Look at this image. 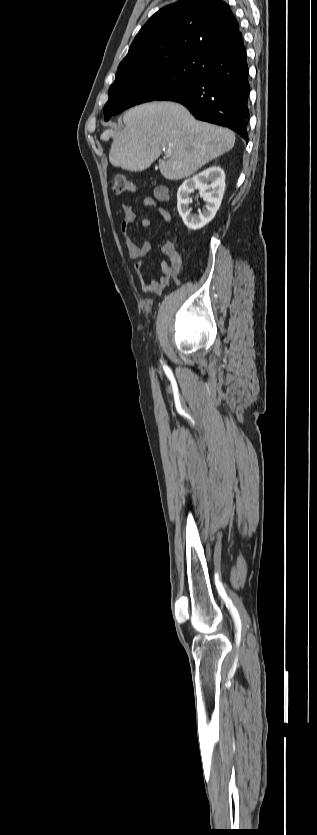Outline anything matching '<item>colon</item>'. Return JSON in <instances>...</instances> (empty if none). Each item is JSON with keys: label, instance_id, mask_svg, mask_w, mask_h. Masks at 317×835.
<instances>
[{"label": "colon", "instance_id": "colon-1", "mask_svg": "<svg viewBox=\"0 0 317 835\" xmlns=\"http://www.w3.org/2000/svg\"><path fill=\"white\" fill-rule=\"evenodd\" d=\"M111 189L113 193L119 195L133 192L135 190V185L132 180L125 175L117 174L112 179ZM167 249L171 250L173 248L167 247Z\"/></svg>", "mask_w": 317, "mask_h": 835}]
</instances>
